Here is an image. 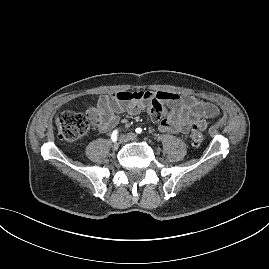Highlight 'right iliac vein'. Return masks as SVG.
Returning <instances> with one entry per match:
<instances>
[{"label": "right iliac vein", "mask_w": 269, "mask_h": 269, "mask_svg": "<svg viewBox=\"0 0 269 269\" xmlns=\"http://www.w3.org/2000/svg\"><path fill=\"white\" fill-rule=\"evenodd\" d=\"M125 142H126V136L121 135V136L119 137V143H125Z\"/></svg>", "instance_id": "63e3f726"}]
</instances>
